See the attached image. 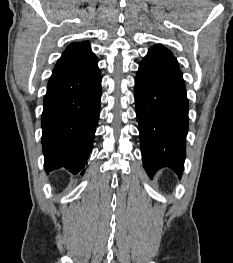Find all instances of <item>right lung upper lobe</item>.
I'll list each match as a JSON object with an SVG mask.
<instances>
[{
	"label": "right lung upper lobe",
	"mask_w": 233,
	"mask_h": 263,
	"mask_svg": "<svg viewBox=\"0 0 233 263\" xmlns=\"http://www.w3.org/2000/svg\"><path fill=\"white\" fill-rule=\"evenodd\" d=\"M97 61L88 42L72 43L67 46L57 61L53 73L75 74L89 70Z\"/></svg>",
	"instance_id": "cb5924a9"
}]
</instances>
